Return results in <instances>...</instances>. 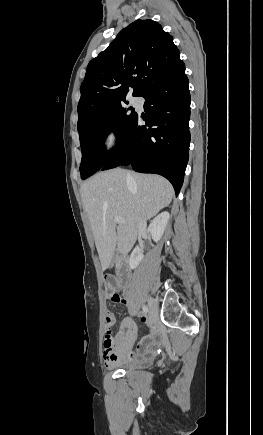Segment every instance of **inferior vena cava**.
I'll return each instance as SVG.
<instances>
[{"mask_svg":"<svg viewBox=\"0 0 263 435\" xmlns=\"http://www.w3.org/2000/svg\"><path fill=\"white\" fill-rule=\"evenodd\" d=\"M144 222H145L144 220H141L140 224L142 225Z\"/></svg>","mask_w":263,"mask_h":435,"instance_id":"obj_1","label":"inferior vena cava"}]
</instances>
